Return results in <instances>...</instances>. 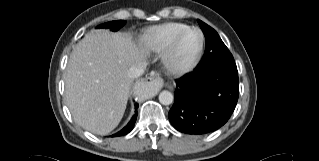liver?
<instances>
[{"label": "liver", "mask_w": 319, "mask_h": 161, "mask_svg": "<svg viewBox=\"0 0 319 161\" xmlns=\"http://www.w3.org/2000/svg\"><path fill=\"white\" fill-rule=\"evenodd\" d=\"M147 49L106 30L87 34L74 48L65 75V97L73 119L99 135L120 123L132 78L129 69L146 63Z\"/></svg>", "instance_id": "1"}]
</instances>
